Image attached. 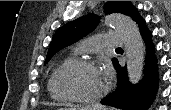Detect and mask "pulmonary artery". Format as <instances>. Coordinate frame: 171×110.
I'll use <instances>...</instances> for the list:
<instances>
[{
    "label": "pulmonary artery",
    "mask_w": 171,
    "mask_h": 110,
    "mask_svg": "<svg viewBox=\"0 0 171 110\" xmlns=\"http://www.w3.org/2000/svg\"><path fill=\"white\" fill-rule=\"evenodd\" d=\"M124 42L122 36L117 32L104 33L92 38H88L79 42L76 52L96 51L105 47H118Z\"/></svg>",
    "instance_id": "pulmonary-artery-1"
}]
</instances>
